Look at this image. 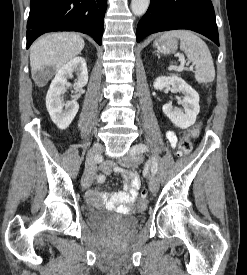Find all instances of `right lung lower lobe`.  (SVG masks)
<instances>
[{
    "label": "right lung lower lobe",
    "mask_w": 247,
    "mask_h": 275,
    "mask_svg": "<svg viewBox=\"0 0 247 275\" xmlns=\"http://www.w3.org/2000/svg\"><path fill=\"white\" fill-rule=\"evenodd\" d=\"M107 0H31L27 22V48L51 31H77L102 44Z\"/></svg>",
    "instance_id": "obj_1"
}]
</instances>
